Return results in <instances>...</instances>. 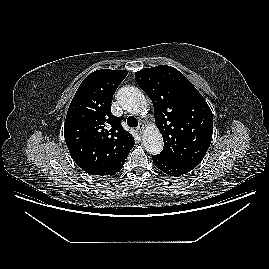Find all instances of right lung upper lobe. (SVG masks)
<instances>
[{
	"mask_svg": "<svg viewBox=\"0 0 269 269\" xmlns=\"http://www.w3.org/2000/svg\"><path fill=\"white\" fill-rule=\"evenodd\" d=\"M128 71L102 69L89 74L67 112L64 136L73 160L90 175H114L122 169L135 141L111 113L117 87Z\"/></svg>",
	"mask_w": 269,
	"mask_h": 269,
	"instance_id": "obj_1",
	"label": "right lung upper lobe"
}]
</instances>
